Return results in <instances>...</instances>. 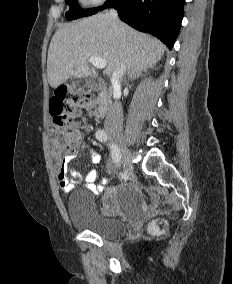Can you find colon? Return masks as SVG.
<instances>
[{
	"mask_svg": "<svg viewBox=\"0 0 233 284\" xmlns=\"http://www.w3.org/2000/svg\"><path fill=\"white\" fill-rule=\"evenodd\" d=\"M50 114L53 123L58 127L63 137L65 149L73 153L77 150L82 134L79 127L73 121V113L76 108H81L95 114L98 109V102L90 95L76 96L73 99H66L64 96H56L50 102ZM166 223L163 220L153 225L156 232H164Z\"/></svg>",
	"mask_w": 233,
	"mask_h": 284,
	"instance_id": "obj_1",
	"label": "colon"
}]
</instances>
